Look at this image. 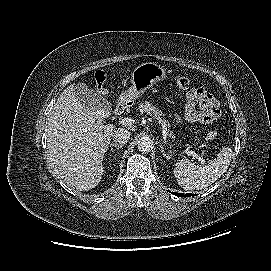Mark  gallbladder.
<instances>
[{"mask_svg": "<svg viewBox=\"0 0 271 271\" xmlns=\"http://www.w3.org/2000/svg\"><path fill=\"white\" fill-rule=\"evenodd\" d=\"M76 96L84 106L108 117L112 111L111 104L100 93L90 89L86 83L78 82L75 86Z\"/></svg>", "mask_w": 271, "mask_h": 271, "instance_id": "bac80fb5", "label": "gallbladder"}]
</instances>
